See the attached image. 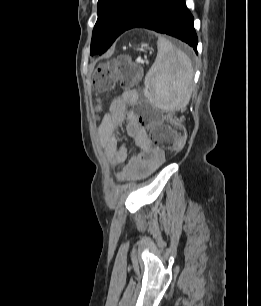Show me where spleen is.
Returning <instances> with one entry per match:
<instances>
[{
    "label": "spleen",
    "instance_id": "obj_1",
    "mask_svg": "<svg viewBox=\"0 0 261 306\" xmlns=\"http://www.w3.org/2000/svg\"><path fill=\"white\" fill-rule=\"evenodd\" d=\"M157 45V57L145 77L144 94L152 104L163 110L183 109L192 95V62L164 37L158 38Z\"/></svg>",
    "mask_w": 261,
    "mask_h": 306
}]
</instances>
